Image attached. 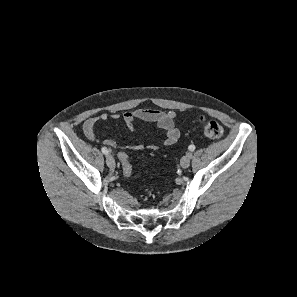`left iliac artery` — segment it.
I'll use <instances>...</instances> for the list:
<instances>
[{
  "label": "left iliac artery",
  "mask_w": 297,
  "mask_h": 297,
  "mask_svg": "<svg viewBox=\"0 0 297 297\" xmlns=\"http://www.w3.org/2000/svg\"><path fill=\"white\" fill-rule=\"evenodd\" d=\"M189 150H190V151H194V150H195V145H193V144L190 145V146H189ZM191 157H192V155H190V158H191Z\"/></svg>",
  "instance_id": "44dca946"
}]
</instances>
